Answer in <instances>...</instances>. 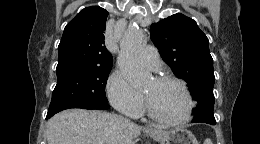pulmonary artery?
<instances>
[{
    "mask_svg": "<svg viewBox=\"0 0 260 144\" xmlns=\"http://www.w3.org/2000/svg\"><path fill=\"white\" fill-rule=\"evenodd\" d=\"M139 61L148 70L158 71L160 69V57L153 46H147L142 50Z\"/></svg>",
    "mask_w": 260,
    "mask_h": 144,
    "instance_id": "1",
    "label": "pulmonary artery"
}]
</instances>
